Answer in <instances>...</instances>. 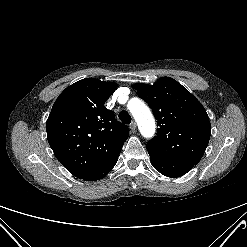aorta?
I'll list each match as a JSON object with an SVG mask.
<instances>
[{"instance_id":"aorta-1","label":"aorta","mask_w":247,"mask_h":247,"mask_svg":"<svg viewBox=\"0 0 247 247\" xmlns=\"http://www.w3.org/2000/svg\"><path fill=\"white\" fill-rule=\"evenodd\" d=\"M129 109L138 124L141 134L146 138L152 137L155 132V122L149 108L138 100L136 104L130 105Z\"/></svg>"}]
</instances>
